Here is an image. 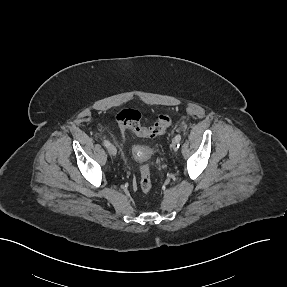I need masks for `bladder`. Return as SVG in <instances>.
Returning a JSON list of instances; mask_svg holds the SVG:
<instances>
[{"instance_id":"1","label":"bladder","mask_w":287,"mask_h":287,"mask_svg":"<svg viewBox=\"0 0 287 287\" xmlns=\"http://www.w3.org/2000/svg\"><path fill=\"white\" fill-rule=\"evenodd\" d=\"M146 150V152H150V150L149 149H145Z\"/></svg>"}]
</instances>
